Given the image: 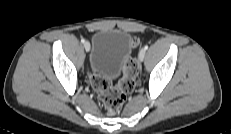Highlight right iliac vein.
<instances>
[{
    "instance_id": "63e3f726",
    "label": "right iliac vein",
    "mask_w": 231,
    "mask_h": 134,
    "mask_svg": "<svg viewBox=\"0 0 231 134\" xmlns=\"http://www.w3.org/2000/svg\"><path fill=\"white\" fill-rule=\"evenodd\" d=\"M84 48H85V50H86L87 52L90 51V44H89L88 41L84 42Z\"/></svg>"
}]
</instances>
